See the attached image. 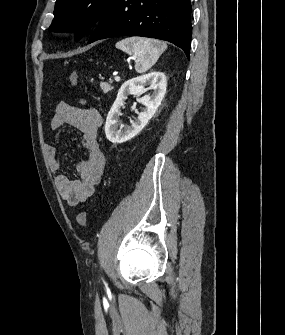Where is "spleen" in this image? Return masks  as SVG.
Returning <instances> with one entry per match:
<instances>
[{"label": "spleen", "instance_id": "3e777b00", "mask_svg": "<svg viewBox=\"0 0 285 335\" xmlns=\"http://www.w3.org/2000/svg\"><path fill=\"white\" fill-rule=\"evenodd\" d=\"M116 48L122 50V52H126L129 56L135 54L137 58L135 70L138 74H144V72H147V70H150L154 66L167 46L164 42H159V40L134 36V38H125V40L117 42Z\"/></svg>", "mask_w": 285, "mask_h": 335}]
</instances>
